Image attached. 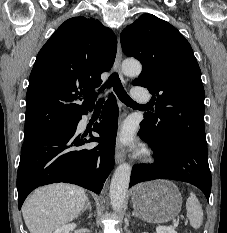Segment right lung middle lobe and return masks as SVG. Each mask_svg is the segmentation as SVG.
Returning <instances> with one entry per match:
<instances>
[{
    "label": "right lung middle lobe",
    "instance_id": "obj_1",
    "mask_svg": "<svg viewBox=\"0 0 227 233\" xmlns=\"http://www.w3.org/2000/svg\"><path fill=\"white\" fill-rule=\"evenodd\" d=\"M72 122V121H71ZM68 123H70V122H68ZM67 124V123H66ZM65 125V124H64ZM61 126H63V125H61ZM30 138V137H29ZM24 139H26V137H24Z\"/></svg>",
    "mask_w": 227,
    "mask_h": 233
}]
</instances>
